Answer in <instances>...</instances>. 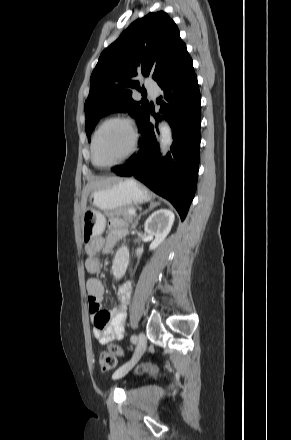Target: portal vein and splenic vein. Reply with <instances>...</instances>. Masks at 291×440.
<instances>
[{
	"label": "portal vein and splenic vein",
	"instance_id": "portal-vein-and-splenic-vein-1",
	"mask_svg": "<svg viewBox=\"0 0 291 440\" xmlns=\"http://www.w3.org/2000/svg\"><path fill=\"white\" fill-rule=\"evenodd\" d=\"M128 213H129L130 215H136V211H135L134 209H129V210H128Z\"/></svg>",
	"mask_w": 291,
	"mask_h": 440
}]
</instances>
